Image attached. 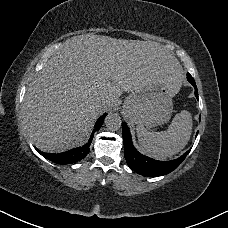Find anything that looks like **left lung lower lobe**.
Returning <instances> with one entry per match:
<instances>
[{
	"instance_id": "1",
	"label": "left lung lower lobe",
	"mask_w": 228,
	"mask_h": 228,
	"mask_svg": "<svg viewBox=\"0 0 228 228\" xmlns=\"http://www.w3.org/2000/svg\"><path fill=\"white\" fill-rule=\"evenodd\" d=\"M187 79L194 86L195 96L198 99V91L194 79L190 74H187ZM122 134L124 144V156L127 164L132 170L144 176L156 177L172 172L184 161V159L191 150L189 149L186 153H184L177 159H173L170 161H158L142 155L135 149L132 144L129 128L125 122L122 123Z\"/></svg>"
}]
</instances>
